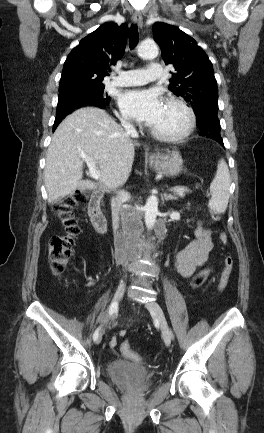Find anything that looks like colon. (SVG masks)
Here are the masks:
<instances>
[{
  "mask_svg": "<svg viewBox=\"0 0 264 433\" xmlns=\"http://www.w3.org/2000/svg\"><path fill=\"white\" fill-rule=\"evenodd\" d=\"M87 193L84 191H77L55 205V213L64 228V233L51 237L48 243L49 253V266L53 273L61 274L64 272L69 260L73 254V247L75 239L79 233V226L74 215V209L84 203L87 199ZM215 220H219L217 214L213 215ZM219 239L222 244L226 245L228 242L227 235L221 233ZM234 260L231 256H226L223 260V268L220 276L218 290L223 292L228 285L231 273L233 271ZM210 269H205L197 274L191 280L192 288L201 287L210 275ZM122 353L133 361L140 362L141 356L132 350L128 341L121 344Z\"/></svg>",
  "mask_w": 264,
  "mask_h": 433,
  "instance_id": "obj_1",
  "label": "colon"
}]
</instances>
